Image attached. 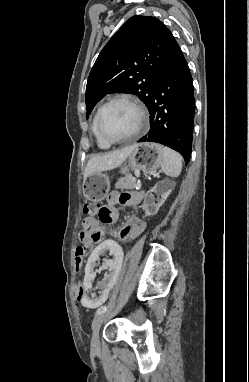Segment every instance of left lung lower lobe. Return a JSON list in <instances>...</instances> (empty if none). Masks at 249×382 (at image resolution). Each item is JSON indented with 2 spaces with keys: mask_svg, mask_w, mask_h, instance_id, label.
I'll return each instance as SVG.
<instances>
[{
  "mask_svg": "<svg viewBox=\"0 0 249 382\" xmlns=\"http://www.w3.org/2000/svg\"><path fill=\"white\" fill-rule=\"evenodd\" d=\"M150 131L138 142H156L178 151L190 161L195 99L188 64L177 45L160 75L147 105Z\"/></svg>",
  "mask_w": 249,
  "mask_h": 382,
  "instance_id": "left-lung-lower-lobe-1",
  "label": "left lung lower lobe"
}]
</instances>
